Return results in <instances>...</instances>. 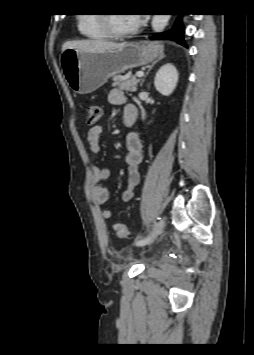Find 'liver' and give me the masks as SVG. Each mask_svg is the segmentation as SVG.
<instances>
[{"label": "liver", "instance_id": "1", "mask_svg": "<svg viewBox=\"0 0 254 355\" xmlns=\"http://www.w3.org/2000/svg\"><path fill=\"white\" fill-rule=\"evenodd\" d=\"M124 45L125 43H115L104 40H74L64 43L62 51L66 49H75L82 52L106 51L118 49Z\"/></svg>", "mask_w": 254, "mask_h": 355}]
</instances>
